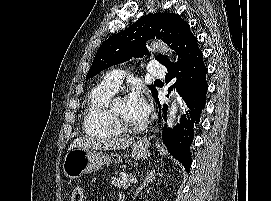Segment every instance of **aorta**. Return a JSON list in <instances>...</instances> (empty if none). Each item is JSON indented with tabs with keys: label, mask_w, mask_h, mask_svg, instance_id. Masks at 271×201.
Here are the masks:
<instances>
[{
	"label": "aorta",
	"mask_w": 271,
	"mask_h": 201,
	"mask_svg": "<svg viewBox=\"0 0 271 201\" xmlns=\"http://www.w3.org/2000/svg\"><path fill=\"white\" fill-rule=\"evenodd\" d=\"M150 48L152 50L155 49H159V51H161V53L167 55L168 57H170L172 55V51L171 49L164 43L162 42H152L150 44ZM177 112H178V107L175 103V101L172 102L171 106L168 109V126L172 127L175 123L176 117H177Z\"/></svg>",
	"instance_id": "obj_1"
}]
</instances>
